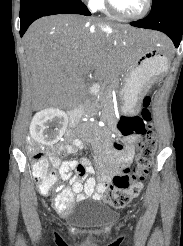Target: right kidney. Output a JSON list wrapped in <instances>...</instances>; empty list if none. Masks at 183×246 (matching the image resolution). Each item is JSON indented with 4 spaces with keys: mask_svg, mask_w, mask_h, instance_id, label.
Here are the masks:
<instances>
[{
    "mask_svg": "<svg viewBox=\"0 0 183 246\" xmlns=\"http://www.w3.org/2000/svg\"><path fill=\"white\" fill-rule=\"evenodd\" d=\"M67 115L58 108H49L35 114L30 124V135L38 143L52 145L64 134Z\"/></svg>",
    "mask_w": 183,
    "mask_h": 246,
    "instance_id": "right-kidney-1",
    "label": "right kidney"
}]
</instances>
